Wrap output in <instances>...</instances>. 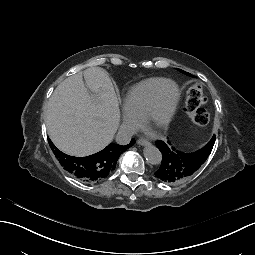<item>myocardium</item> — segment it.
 <instances>
[{
    "instance_id": "myocardium-1",
    "label": "myocardium",
    "mask_w": 255,
    "mask_h": 255,
    "mask_svg": "<svg viewBox=\"0 0 255 255\" xmlns=\"http://www.w3.org/2000/svg\"><path fill=\"white\" fill-rule=\"evenodd\" d=\"M167 85H170L173 87V96L172 100L169 104V106L162 110L161 109V99L164 92V89ZM180 89L179 86L172 80H166L162 83V85L157 89L151 106L149 109L143 114V116L140 118V121L138 122V125L144 129L145 131L154 134V135H160L165 130L168 129L170 124L172 123L180 101ZM150 122L156 123V129L154 131H150L148 129V124Z\"/></svg>"
}]
</instances>
